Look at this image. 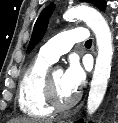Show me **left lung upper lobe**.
<instances>
[{"label": "left lung upper lobe", "mask_w": 118, "mask_h": 123, "mask_svg": "<svg viewBox=\"0 0 118 123\" xmlns=\"http://www.w3.org/2000/svg\"><path fill=\"white\" fill-rule=\"evenodd\" d=\"M82 1L92 3L95 6L99 7L100 9L105 7L104 0H82ZM54 9H55V4L51 3L41 12L40 16L38 17L34 25L33 33L28 45L27 52H30L40 42V40L44 36L45 31L47 29L48 22H49V18L52 12L54 11Z\"/></svg>", "instance_id": "5c2ea615"}]
</instances>
